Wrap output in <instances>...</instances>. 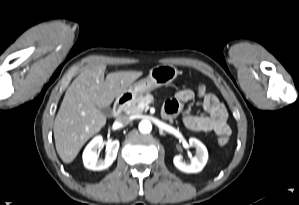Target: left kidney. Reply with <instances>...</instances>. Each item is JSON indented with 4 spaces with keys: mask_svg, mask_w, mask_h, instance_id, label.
Masks as SVG:
<instances>
[{
    "mask_svg": "<svg viewBox=\"0 0 299 205\" xmlns=\"http://www.w3.org/2000/svg\"><path fill=\"white\" fill-rule=\"evenodd\" d=\"M189 144L196 149V156L191 159V163H185L181 156H175L173 163L182 172L198 173L207 163L208 151L205 145L196 138H190Z\"/></svg>",
    "mask_w": 299,
    "mask_h": 205,
    "instance_id": "1",
    "label": "left kidney"
}]
</instances>
